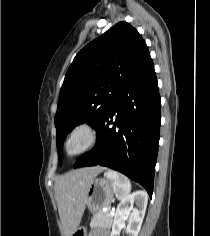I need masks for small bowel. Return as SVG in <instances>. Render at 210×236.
Listing matches in <instances>:
<instances>
[{
  "instance_id": "c3829d8e",
  "label": "small bowel",
  "mask_w": 210,
  "mask_h": 236,
  "mask_svg": "<svg viewBox=\"0 0 210 236\" xmlns=\"http://www.w3.org/2000/svg\"><path fill=\"white\" fill-rule=\"evenodd\" d=\"M90 236H109V235L103 232H93Z\"/></svg>"
}]
</instances>
